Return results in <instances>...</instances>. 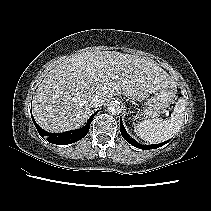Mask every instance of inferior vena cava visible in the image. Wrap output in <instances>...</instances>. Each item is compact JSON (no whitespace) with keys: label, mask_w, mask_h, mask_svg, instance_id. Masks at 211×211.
<instances>
[{"label":"inferior vena cava","mask_w":211,"mask_h":211,"mask_svg":"<svg viewBox=\"0 0 211 211\" xmlns=\"http://www.w3.org/2000/svg\"><path fill=\"white\" fill-rule=\"evenodd\" d=\"M102 103H103V98H102L101 96H99V95H95V96L91 99L89 105H90L91 107H98V106H100Z\"/></svg>","instance_id":"602c4592"}]
</instances>
